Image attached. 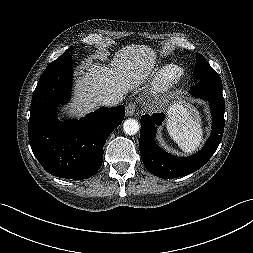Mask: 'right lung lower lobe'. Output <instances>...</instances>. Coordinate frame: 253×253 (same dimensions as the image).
<instances>
[{"label": "right lung lower lobe", "mask_w": 253, "mask_h": 253, "mask_svg": "<svg viewBox=\"0 0 253 253\" xmlns=\"http://www.w3.org/2000/svg\"><path fill=\"white\" fill-rule=\"evenodd\" d=\"M72 57L49 64L32 96L29 141L42 167L50 174L81 180L101 167L103 146L123 121L125 107L99 108L80 120L62 122L58 107L71 92Z\"/></svg>", "instance_id": "1"}]
</instances>
